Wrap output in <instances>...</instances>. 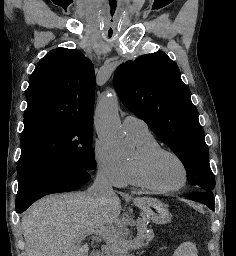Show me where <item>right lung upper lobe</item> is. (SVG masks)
<instances>
[{"instance_id":"1","label":"right lung upper lobe","mask_w":236,"mask_h":256,"mask_svg":"<svg viewBox=\"0 0 236 256\" xmlns=\"http://www.w3.org/2000/svg\"><path fill=\"white\" fill-rule=\"evenodd\" d=\"M94 95L92 62L78 50L54 49L30 76L24 121L54 118L92 123Z\"/></svg>"}]
</instances>
